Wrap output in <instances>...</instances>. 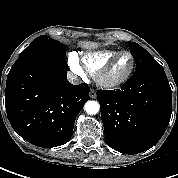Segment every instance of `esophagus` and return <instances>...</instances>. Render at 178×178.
I'll use <instances>...</instances> for the list:
<instances>
[{
	"label": "esophagus",
	"instance_id": "esophagus-1",
	"mask_svg": "<svg viewBox=\"0 0 178 178\" xmlns=\"http://www.w3.org/2000/svg\"><path fill=\"white\" fill-rule=\"evenodd\" d=\"M89 94H90V98L92 99H95L97 97V93L94 89H91Z\"/></svg>",
	"mask_w": 178,
	"mask_h": 178
}]
</instances>
